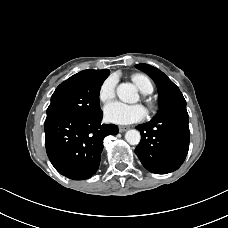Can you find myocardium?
<instances>
[{
	"instance_id": "1",
	"label": "myocardium",
	"mask_w": 228,
	"mask_h": 228,
	"mask_svg": "<svg viewBox=\"0 0 228 228\" xmlns=\"http://www.w3.org/2000/svg\"><path fill=\"white\" fill-rule=\"evenodd\" d=\"M148 105H149L150 107H152V103H151L150 101H148Z\"/></svg>"
}]
</instances>
